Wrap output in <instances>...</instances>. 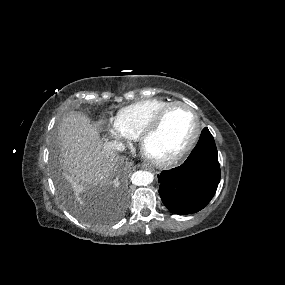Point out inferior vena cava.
<instances>
[{"label": "inferior vena cava", "mask_w": 285, "mask_h": 285, "mask_svg": "<svg viewBox=\"0 0 285 285\" xmlns=\"http://www.w3.org/2000/svg\"><path fill=\"white\" fill-rule=\"evenodd\" d=\"M105 146L112 160L115 159L116 152H122L125 150V145L116 140L107 142Z\"/></svg>", "instance_id": "obj_1"}]
</instances>
